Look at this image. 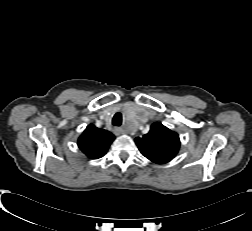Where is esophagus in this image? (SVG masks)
Instances as JSON below:
<instances>
[{
	"mask_svg": "<svg viewBox=\"0 0 252 231\" xmlns=\"http://www.w3.org/2000/svg\"><path fill=\"white\" fill-rule=\"evenodd\" d=\"M114 133H115L116 135H121V134L124 133V130H123L122 128H120V127H116V128L114 129Z\"/></svg>",
	"mask_w": 252,
	"mask_h": 231,
	"instance_id": "1",
	"label": "esophagus"
}]
</instances>
